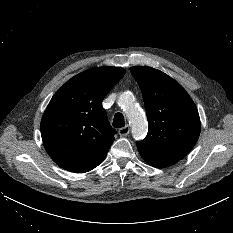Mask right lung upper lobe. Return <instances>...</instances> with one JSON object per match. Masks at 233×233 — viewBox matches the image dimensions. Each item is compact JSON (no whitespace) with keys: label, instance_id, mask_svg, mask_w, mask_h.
<instances>
[{"label":"right lung upper lobe","instance_id":"obj_1","mask_svg":"<svg viewBox=\"0 0 233 233\" xmlns=\"http://www.w3.org/2000/svg\"><path fill=\"white\" fill-rule=\"evenodd\" d=\"M124 74L121 67L91 68L52 97L41 120V135L47 153L63 169L84 173L105 159L116 131L101 103Z\"/></svg>","mask_w":233,"mask_h":233}]
</instances>
